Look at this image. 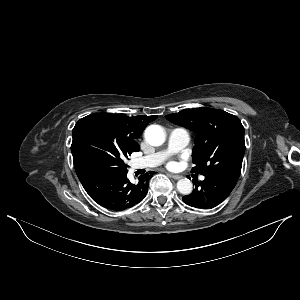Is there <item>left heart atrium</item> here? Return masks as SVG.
<instances>
[{
  "instance_id": "1",
  "label": "left heart atrium",
  "mask_w": 300,
  "mask_h": 300,
  "mask_svg": "<svg viewBox=\"0 0 300 300\" xmlns=\"http://www.w3.org/2000/svg\"><path fill=\"white\" fill-rule=\"evenodd\" d=\"M169 166H170V167H174V166H175V163L171 162V163H169Z\"/></svg>"
}]
</instances>
